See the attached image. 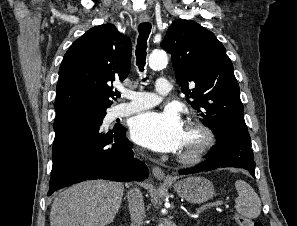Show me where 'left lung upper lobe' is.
Returning <instances> with one entry per match:
<instances>
[{
  "label": "left lung upper lobe",
  "instance_id": "1",
  "mask_svg": "<svg viewBox=\"0 0 297 226\" xmlns=\"http://www.w3.org/2000/svg\"><path fill=\"white\" fill-rule=\"evenodd\" d=\"M161 47L172 56L177 82L215 135L247 134L233 64L215 35L190 20L172 22Z\"/></svg>",
  "mask_w": 297,
  "mask_h": 226
}]
</instances>
